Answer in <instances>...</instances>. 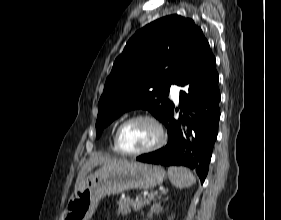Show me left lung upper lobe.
Instances as JSON below:
<instances>
[{
	"label": "left lung upper lobe",
	"instance_id": "obj_1",
	"mask_svg": "<svg viewBox=\"0 0 281 220\" xmlns=\"http://www.w3.org/2000/svg\"><path fill=\"white\" fill-rule=\"evenodd\" d=\"M200 27L179 15L160 18L127 42L108 76L98 104L97 138L125 111L143 108L166 123L174 105L170 84H179L192 62L209 48Z\"/></svg>",
	"mask_w": 281,
	"mask_h": 220
}]
</instances>
